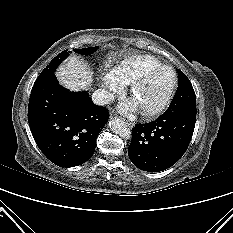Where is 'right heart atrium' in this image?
<instances>
[{
    "label": "right heart atrium",
    "instance_id": "1",
    "mask_svg": "<svg viewBox=\"0 0 233 233\" xmlns=\"http://www.w3.org/2000/svg\"><path fill=\"white\" fill-rule=\"evenodd\" d=\"M101 81L109 97L121 93L125 87L115 69H106L102 73Z\"/></svg>",
    "mask_w": 233,
    "mask_h": 233
}]
</instances>
